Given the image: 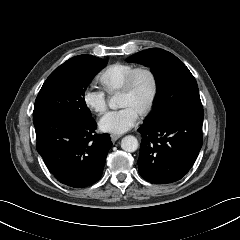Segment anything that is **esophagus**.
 <instances>
[{
    "mask_svg": "<svg viewBox=\"0 0 240 240\" xmlns=\"http://www.w3.org/2000/svg\"><path fill=\"white\" fill-rule=\"evenodd\" d=\"M110 137H111V141H112L113 143H115V142L120 138L119 135H114V134H112Z\"/></svg>",
    "mask_w": 240,
    "mask_h": 240,
    "instance_id": "esophagus-1",
    "label": "esophagus"
}]
</instances>
